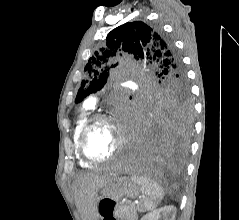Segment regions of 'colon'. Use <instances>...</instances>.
Listing matches in <instances>:
<instances>
[{"mask_svg":"<svg viewBox=\"0 0 239 220\" xmlns=\"http://www.w3.org/2000/svg\"><path fill=\"white\" fill-rule=\"evenodd\" d=\"M115 208V202L110 199H105L100 202L99 210L103 220H115L113 211Z\"/></svg>","mask_w":239,"mask_h":220,"instance_id":"5ec220e1","label":"colon"}]
</instances>
